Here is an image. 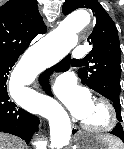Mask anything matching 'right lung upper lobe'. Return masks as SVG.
<instances>
[{"mask_svg": "<svg viewBox=\"0 0 124 149\" xmlns=\"http://www.w3.org/2000/svg\"><path fill=\"white\" fill-rule=\"evenodd\" d=\"M36 0H9L0 6V57L21 55L46 33Z\"/></svg>", "mask_w": 124, "mask_h": 149, "instance_id": "obj_1", "label": "right lung upper lobe"}]
</instances>
